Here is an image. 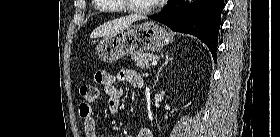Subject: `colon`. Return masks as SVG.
<instances>
[{
  "label": "colon",
  "instance_id": "colon-1",
  "mask_svg": "<svg viewBox=\"0 0 280 137\" xmlns=\"http://www.w3.org/2000/svg\"><path fill=\"white\" fill-rule=\"evenodd\" d=\"M80 96L83 100L93 103L99 96L98 88L92 84H84L80 87Z\"/></svg>",
  "mask_w": 280,
  "mask_h": 137
}]
</instances>
